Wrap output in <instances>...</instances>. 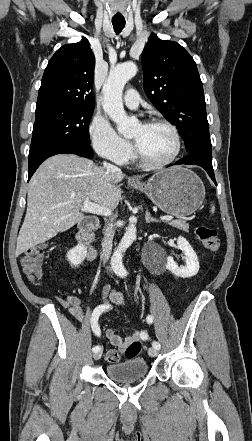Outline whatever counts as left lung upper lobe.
<instances>
[{
	"instance_id": "5c2ea615",
	"label": "left lung upper lobe",
	"mask_w": 252,
	"mask_h": 441,
	"mask_svg": "<svg viewBox=\"0 0 252 441\" xmlns=\"http://www.w3.org/2000/svg\"><path fill=\"white\" fill-rule=\"evenodd\" d=\"M141 59L145 93L177 127L186 151L212 153L203 86L193 58L178 43L151 34Z\"/></svg>"
}]
</instances>
